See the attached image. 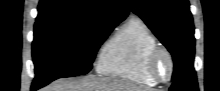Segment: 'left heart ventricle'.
I'll return each instance as SVG.
<instances>
[{
  "instance_id": "1",
  "label": "left heart ventricle",
  "mask_w": 220,
  "mask_h": 91,
  "mask_svg": "<svg viewBox=\"0 0 220 91\" xmlns=\"http://www.w3.org/2000/svg\"><path fill=\"white\" fill-rule=\"evenodd\" d=\"M158 71L161 77L166 78L169 72L168 62L165 58L160 59L158 64Z\"/></svg>"
}]
</instances>
